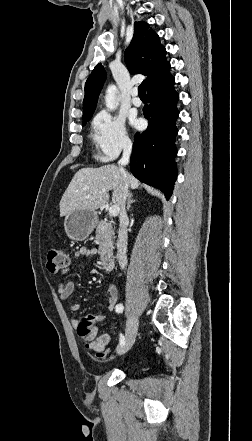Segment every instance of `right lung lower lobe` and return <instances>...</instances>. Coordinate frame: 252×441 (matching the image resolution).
<instances>
[{"label": "right lung lower lobe", "mask_w": 252, "mask_h": 441, "mask_svg": "<svg viewBox=\"0 0 252 441\" xmlns=\"http://www.w3.org/2000/svg\"><path fill=\"white\" fill-rule=\"evenodd\" d=\"M174 77L170 64L159 80L147 89L149 104L143 108L149 125L143 133L134 136L130 168L140 181L161 189L169 199L177 177L174 157L177 150L174 138L179 115L176 104L179 99L174 90Z\"/></svg>", "instance_id": "98d812e1"}]
</instances>
